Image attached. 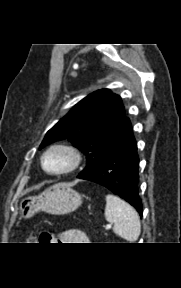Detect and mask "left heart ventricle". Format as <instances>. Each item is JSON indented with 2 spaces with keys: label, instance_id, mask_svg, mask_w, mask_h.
<instances>
[{
  "label": "left heart ventricle",
  "instance_id": "obj_1",
  "mask_svg": "<svg viewBox=\"0 0 181 288\" xmlns=\"http://www.w3.org/2000/svg\"><path fill=\"white\" fill-rule=\"evenodd\" d=\"M69 164L68 156L60 151L50 153L45 160V166L49 171H59Z\"/></svg>",
  "mask_w": 181,
  "mask_h": 288
}]
</instances>
